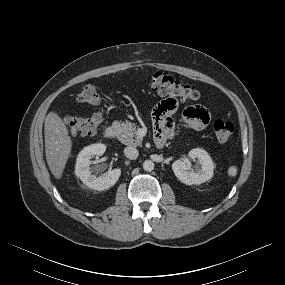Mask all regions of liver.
Returning a JSON list of instances; mask_svg holds the SVG:
<instances>
[{
    "label": "liver",
    "instance_id": "1",
    "mask_svg": "<svg viewBox=\"0 0 285 285\" xmlns=\"http://www.w3.org/2000/svg\"><path fill=\"white\" fill-rule=\"evenodd\" d=\"M45 154L48 167L56 179H60L72 150L69 130L62 118L51 111L45 118Z\"/></svg>",
    "mask_w": 285,
    "mask_h": 285
}]
</instances>
